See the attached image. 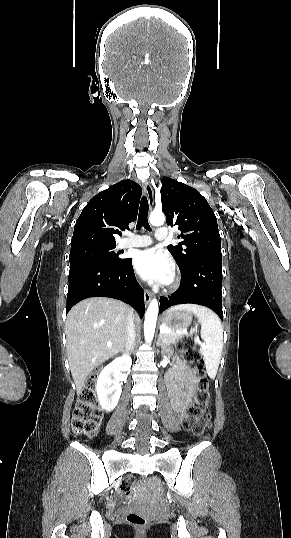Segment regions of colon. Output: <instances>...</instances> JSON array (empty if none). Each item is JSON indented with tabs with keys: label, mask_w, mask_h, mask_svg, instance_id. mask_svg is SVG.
I'll list each match as a JSON object with an SVG mask.
<instances>
[{
	"label": "colon",
	"mask_w": 291,
	"mask_h": 538,
	"mask_svg": "<svg viewBox=\"0 0 291 538\" xmlns=\"http://www.w3.org/2000/svg\"><path fill=\"white\" fill-rule=\"evenodd\" d=\"M177 346L184 354L186 360L197 372V390L195 400L185 411L184 427L195 436H200L209 425V416L206 411L210 400L209 384L204 371L203 360L195 348L192 340L182 338ZM95 375L89 378L79 394L78 401L72 416V429L77 434L93 436L99 428L102 419V410L99 407L95 394ZM134 479L126 476L122 479L120 490L125 495L133 493ZM127 522L137 530H144L148 526V519L137 513L130 512L126 516Z\"/></svg>",
	"instance_id": "5ec220e1"
}]
</instances>
